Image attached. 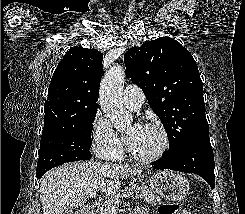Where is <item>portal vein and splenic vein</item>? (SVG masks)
<instances>
[{
    "instance_id": "obj_1",
    "label": "portal vein and splenic vein",
    "mask_w": 245,
    "mask_h": 214,
    "mask_svg": "<svg viewBox=\"0 0 245 214\" xmlns=\"http://www.w3.org/2000/svg\"><path fill=\"white\" fill-rule=\"evenodd\" d=\"M133 193H128L126 195H123L122 198H126V197H130ZM96 195V192L95 191H92L89 193V197H95ZM117 210V207H112V211H116Z\"/></svg>"
}]
</instances>
